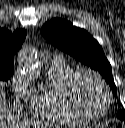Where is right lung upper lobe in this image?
<instances>
[{"instance_id":"1","label":"right lung upper lobe","mask_w":125,"mask_h":128,"mask_svg":"<svg viewBox=\"0 0 125 128\" xmlns=\"http://www.w3.org/2000/svg\"><path fill=\"white\" fill-rule=\"evenodd\" d=\"M26 34L24 29L11 33L8 29L0 28V65L14 67V53L22 47Z\"/></svg>"}]
</instances>
